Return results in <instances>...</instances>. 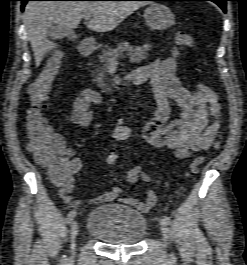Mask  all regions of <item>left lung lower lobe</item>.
<instances>
[{"label": "left lung lower lobe", "instance_id": "1", "mask_svg": "<svg viewBox=\"0 0 247 265\" xmlns=\"http://www.w3.org/2000/svg\"><path fill=\"white\" fill-rule=\"evenodd\" d=\"M150 1H212L216 3L221 9L226 12V2L229 0H150Z\"/></svg>", "mask_w": 247, "mask_h": 265}]
</instances>
